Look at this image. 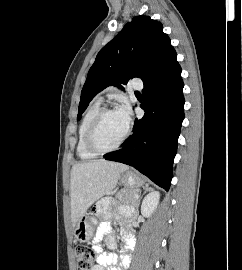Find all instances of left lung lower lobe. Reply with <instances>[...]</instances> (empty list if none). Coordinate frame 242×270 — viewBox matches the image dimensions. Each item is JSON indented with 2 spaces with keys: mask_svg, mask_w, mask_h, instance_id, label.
Wrapping results in <instances>:
<instances>
[{
  "mask_svg": "<svg viewBox=\"0 0 242 270\" xmlns=\"http://www.w3.org/2000/svg\"><path fill=\"white\" fill-rule=\"evenodd\" d=\"M181 71L174 58L143 81V118L135 120L133 135L122 149L104 155L106 160L133 166L167 191L184 119Z\"/></svg>",
  "mask_w": 242,
  "mask_h": 270,
  "instance_id": "1",
  "label": "left lung lower lobe"
}]
</instances>
